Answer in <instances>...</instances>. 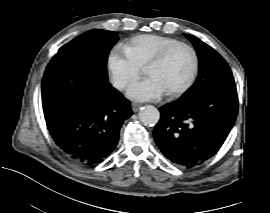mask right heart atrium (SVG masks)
Segmentation results:
<instances>
[{"label": "right heart atrium", "instance_id": "1", "mask_svg": "<svg viewBox=\"0 0 270 213\" xmlns=\"http://www.w3.org/2000/svg\"><path fill=\"white\" fill-rule=\"evenodd\" d=\"M108 66L115 85L120 89L130 87L143 72L141 65L133 62L127 54L120 55L117 51L110 54Z\"/></svg>", "mask_w": 270, "mask_h": 213}]
</instances>
